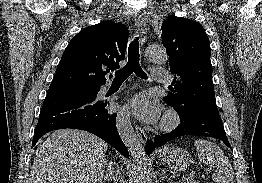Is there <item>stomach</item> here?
Returning <instances> with one entry per match:
<instances>
[{
  "label": "stomach",
  "mask_w": 262,
  "mask_h": 183,
  "mask_svg": "<svg viewBox=\"0 0 262 183\" xmlns=\"http://www.w3.org/2000/svg\"><path fill=\"white\" fill-rule=\"evenodd\" d=\"M158 158L174 170H184L191 164L187 150L171 144L165 145L159 150Z\"/></svg>",
  "instance_id": "obj_1"
}]
</instances>
